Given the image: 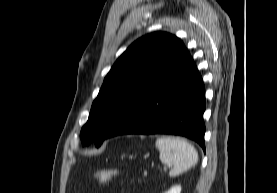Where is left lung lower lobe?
<instances>
[{
	"label": "left lung lower lobe",
	"instance_id": "left-lung-lower-lobe-1",
	"mask_svg": "<svg viewBox=\"0 0 277 193\" xmlns=\"http://www.w3.org/2000/svg\"><path fill=\"white\" fill-rule=\"evenodd\" d=\"M205 88L193 59L137 101L107 138L124 134H173L205 150ZM106 138V139H107Z\"/></svg>",
	"mask_w": 277,
	"mask_h": 193
}]
</instances>
